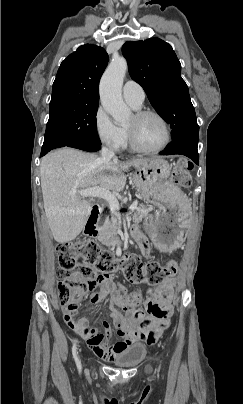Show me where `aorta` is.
<instances>
[{"mask_svg": "<svg viewBox=\"0 0 243 404\" xmlns=\"http://www.w3.org/2000/svg\"><path fill=\"white\" fill-rule=\"evenodd\" d=\"M127 70L125 58L113 56L99 86L101 104L117 124H126L132 114L122 98V84Z\"/></svg>", "mask_w": 243, "mask_h": 404, "instance_id": "762f6f07", "label": "aorta"}]
</instances>
